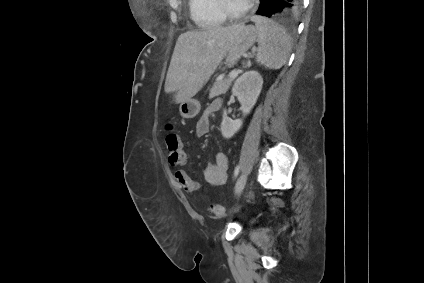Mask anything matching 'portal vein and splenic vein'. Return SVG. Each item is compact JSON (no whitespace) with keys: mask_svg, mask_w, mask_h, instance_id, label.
Wrapping results in <instances>:
<instances>
[{"mask_svg":"<svg viewBox=\"0 0 424 283\" xmlns=\"http://www.w3.org/2000/svg\"><path fill=\"white\" fill-rule=\"evenodd\" d=\"M237 75H238V72L234 70L229 74V77L233 78V77H236Z\"/></svg>","mask_w":424,"mask_h":283,"instance_id":"18ae733b","label":"portal vein and splenic vein"}]
</instances>
